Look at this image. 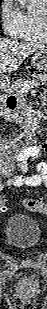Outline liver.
Here are the masks:
<instances>
[{"label":"liver","mask_w":47,"mask_h":309,"mask_svg":"<svg viewBox=\"0 0 47 309\" xmlns=\"http://www.w3.org/2000/svg\"><path fill=\"white\" fill-rule=\"evenodd\" d=\"M43 47L37 43H23L0 38V72L16 71L27 57Z\"/></svg>","instance_id":"obj_1"}]
</instances>
